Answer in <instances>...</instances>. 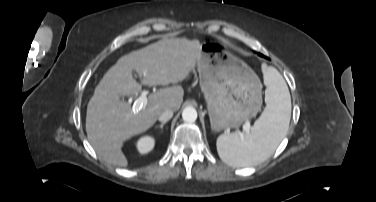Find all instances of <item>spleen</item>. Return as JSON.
Instances as JSON below:
<instances>
[{
	"mask_svg": "<svg viewBox=\"0 0 376 202\" xmlns=\"http://www.w3.org/2000/svg\"><path fill=\"white\" fill-rule=\"evenodd\" d=\"M266 108L246 134H222L216 146L220 158L235 167H248L269 158L285 137L291 117L288 87L274 67L262 65Z\"/></svg>",
	"mask_w": 376,
	"mask_h": 202,
	"instance_id": "1",
	"label": "spleen"
}]
</instances>
